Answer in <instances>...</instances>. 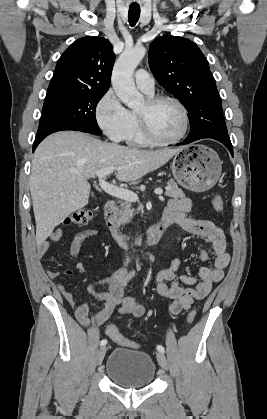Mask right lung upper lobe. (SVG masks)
Returning <instances> with one entry per match:
<instances>
[{"mask_svg":"<svg viewBox=\"0 0 267 419\" xmlns=\"http://www.w3.org/2000/svg\"><path fill=\"white\" fill-rule=\"evenodd\" d=\"M114 61L112 45L107 39L94 36L80 38L59 58L47 93L107 92Z\"/></svg>","mask_w":267,"mask_h":419,"instance_id":"cb5924a9","label":"right lung upper lobe"}]
</instances>
